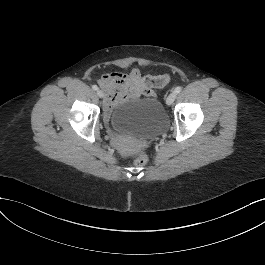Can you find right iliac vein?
I'll list each match as a JSON object with an SVG mask.
<instances>
[{"instance_id":"1","label":"right iliac vein","mask_w":265,"mask_h":265,"mask_svg":"<svg viewBox=\"0 0 265 265\" xmlns=\"http://www.w3.org/2000/svg\"><path fill=\"white\" fill-rule=\"evenodd\" d=\"M97 95L100 98H104V92L102 90H97Z\"/></svg>"}]
</instances>
